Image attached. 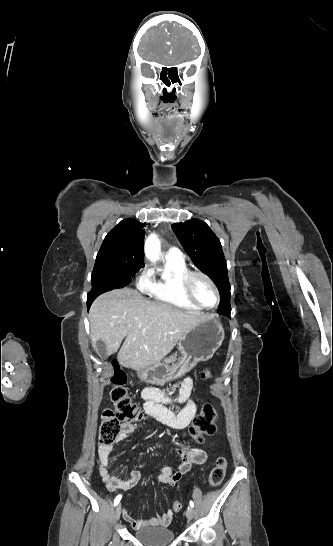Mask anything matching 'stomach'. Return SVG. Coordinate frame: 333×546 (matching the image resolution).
Listing matches in <instances>:
<instances>
[{"label":"stomach","mask_w":333,"mask_h":546,"mask_svg":"<svg viewBox=\"0 0 333 546\" xmlns=\"http://www.w3.org/2000/svg\"><path fill=\"white\" fill-rule=\"evenodd\" d=\"M224 340V329L218 317L208 316L191 328L179 341L181 359L172 365L158 362L138 370V377L150 384L163 386L180 378L198 362L210 360Z\"/></svg>","instance_id":"0dacf381"}]
</instances>
